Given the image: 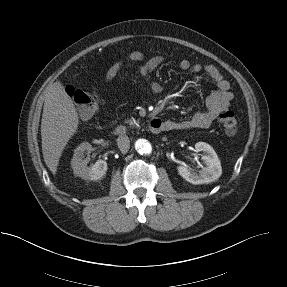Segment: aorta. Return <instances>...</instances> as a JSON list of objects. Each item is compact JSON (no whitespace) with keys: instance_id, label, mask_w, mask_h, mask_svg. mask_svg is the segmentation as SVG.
Masks as SVG:
<instances>
[{"instance_id":"762f6f07","label":"aorta","mask_w":287,"mask_h":287,"mask_svg":"<svg viewBox=\"0 0 287 287\" xmlns=\"http://www.w3.org/2000/svg\"><path fill=\"white\" fill-rule=\"evenodd\" d=\"M135 149L141 155H147L152 152V145L146 139H138L135 142Z\"/></svg>"}]
</instances>
